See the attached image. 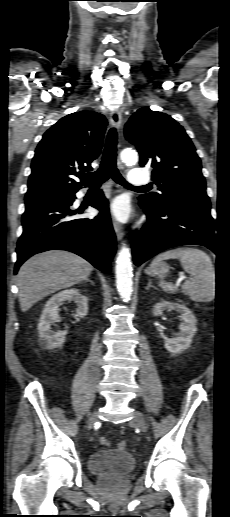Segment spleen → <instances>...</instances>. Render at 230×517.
Wrapping results in <instances>:
<instances>
[{"instance_id":"spleen-1","label":"spleen","mask_w":230,"mask_h":517,"mask_svg":"<svg viewBox=\"0 0 230 517\" xmlns=\"http://www.w3.org/2000/svg\"><path fill=\"white\" fill-rule=\"evenodd\" d=\"M179 259L183 269L193 277L182 285V291L193 301L209 302L215 297V268L210 257L199 249L177 248L159 254L154 258L151 267L157 266L162 260ZM163 291L174 293L175 286L170 282L161 281Z\"/></svg>"}]
</instances>
